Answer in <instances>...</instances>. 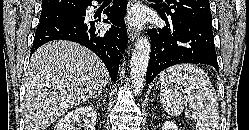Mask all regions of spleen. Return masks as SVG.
Instances as JSON below:
<instances>
[{
  "instance_id": "1",
  "label": "spleen",
  "mask_w": 249,
  "mask_h": 130,
  "mask_svg": "<svg viewBox=\"0 0 249 130\" xmlns=\"http://www.w3.org/2000/svg\"><path fill=\"white\" fill-rule=\"evenodd\" d=\"M160 101L164 110L171 116H179L189 101L186 118H194L197 130H218L219 108L216 91L208 75L194 64H179L163 71ZM177 84V87L174 86ZM186 92L190 97H183ZM191 109L194 111L190 114Z\"/></svg>"
}]
</instances>
